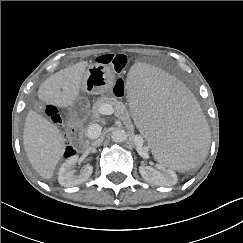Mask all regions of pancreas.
I'll use <instances>...</instances> for the list:
<instances>
[{
    "label": "pancreas",
    "instance_id": "1",
    "mask_svg": "<svg viewBox=\"0 0 243 243\" xmlns=\"http://www.w3.org/2000/svg\"><path fill=\"white\" fill-rule=\"evenodd\" d=\"M104 104H109L112 106L114 114L119 120L126 124H131L130 115L126 109V106L114 97L102 96L99 98L92 106L91 112L93 116L98 117L100 114H102L101 107Z\"/></svg>",
    "mask_w": 243,
    "mask_h": 243
}]
</instances>
